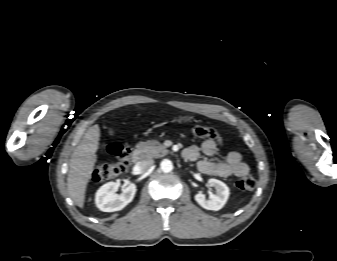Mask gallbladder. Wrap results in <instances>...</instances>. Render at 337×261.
<instances>
[{
  "mask_svg": "<svg viewBox=\"0 0 337 261\" xmlns=\"http://www.w3.org/2000/svg\"><path fill=\"white\" fill-rule=\"evenodd\" d=\"M108 134H109L110 136H114V135H115L114 129H113V128H108Z\"/></svg>",
  "mask_w": 337,
  "mask_h": 261,
  "instance_id": "bac80fb5",
  "label": "gallbladder"
}]
</instances>
